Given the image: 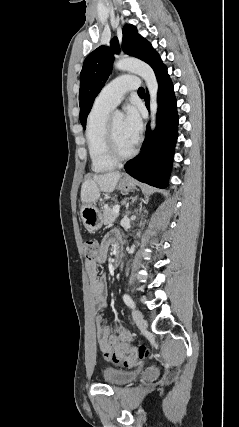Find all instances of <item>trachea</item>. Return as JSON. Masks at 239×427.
<instances>
[{"label":"trachea","instance_id":"trachea-1","mask_svg":"<svg viewBox=\"0 0 239 427\" xmlns=\"http://www.w3.org/2000/svg\"><path fill=\"white\" fill-rule=\"evenodd\" d=\"M144 93H145L144 88H143V87H140V88L138 89V94H139V95H142V94H144Z\"/></svg>","mask_w":239,"mask_h":427}]
</instances>
